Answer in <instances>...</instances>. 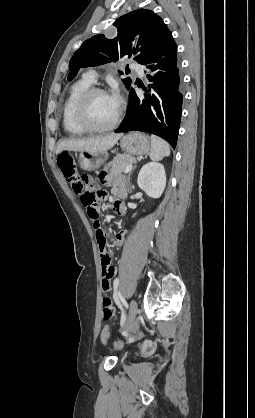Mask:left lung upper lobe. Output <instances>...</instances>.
Masks as SVG:
<instances>
[{"instance_id": "obj_1", "label": "left lung upper lobe", "mask_w": 255, "mask_h": 418, "mask_svg": "<svg viewBox=\"0 0 255 418\" xmlns=\"http://www.w3.org/2000/svg\"><path fill=\"white\" fill-rule=\"evenodd\" d=\"M118 31L115 39L96 35L86 40L69 62L71 81L80 68L116 62L128 57L139 64L160 52L172 38L163 20L151 10L139 9L118 18L113 24ZM120 74H123L119 71ZM130 89L131 79L122 80Z\"/></svg>"}]
</instances>
